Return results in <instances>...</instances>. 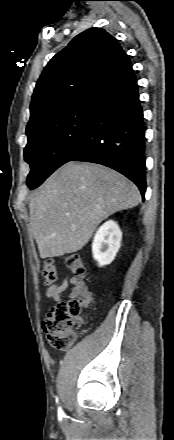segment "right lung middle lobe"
Returning <instances> with one entry per match:
<instances>
[{
  "instance_id": "dd1d6c3e",
  "label": "right lung middle lobe",
  "mask_w": 174,
  "mask_h": 440,
  "mask_svg": "<svg viewBox=\"0 0 174 440\" xmlns=\"http://www.w3.org/2000/svg\"><path fill=\"white\" fill-rule=\"evenodd\" d=\"M94 103V94L85 95L27 127L24 157L31 167L27 177L30 189L38 187L76 150L86 133Z\"/></svg>"
}]
</instances>
